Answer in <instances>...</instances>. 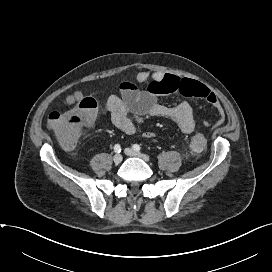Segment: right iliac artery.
<instances>
[{
  "label": "right iliac artery",
  "mask_w": 272,
  "mask_h": 272,
  "mask_svg": "<svg viewBox=\"0 0 272 272\" xmlns=\"http://www.w3.org/2000/svg\"><path fill=\"white\" fill-rule=\"evenodd\" d=\"M114 151H115L116 153H120V152H121V146H120L119 144H116V145L114 146Z\"/></svg>",
  "instance_id": "82829eb1"
}]
</instances>
